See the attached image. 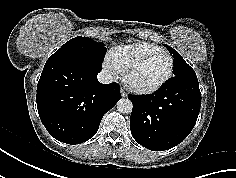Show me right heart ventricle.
<instances>
[{"instance_id": "e07e8e85", "label": "right heart ventricle", "mask_w": 236, "mask_h": 178, "mask_svg": "<svg viewBox=\"0 0 236 178\" xmlns=\"http://www.w3.org/2000/svg\"><path fill=\"white\" fill-rule=\"evenodd\" d=\"M161 50L162 48L146 42L118 46L110 52L109 61L114 65L118 72L123 73L128 66L137 59Z\"/></svg>"}]
</instances>
